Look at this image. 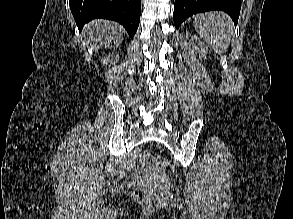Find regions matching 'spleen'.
Wrapping results in <instances>:
<instances>
[{
	"label": "spleen",
	"instance_id": "spleen-1",
	"mask_svg": "<svg viewBox=\"0 0 293 219\" xmlns=\"http://www.w3.org/2000/svg\"><path fill=\"white\" fill-rule=\"evenodd\" d=\"M194 28L217 53H223L233 35L232 19L224 12H209L194 16Z\"/></svg>",
	"mask_w": 293,
	"mask_h": 219
}]
</instances>
